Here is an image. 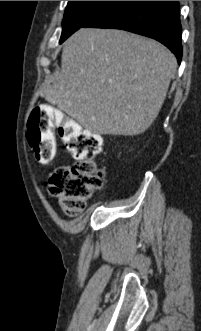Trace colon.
<instances>
[{"mask_svg":"<svg viewBox=\"0 0 201 331\" xmlns=\"http://www.w3.org/2000/svg\"><path fill=\"white\" fill-rule=\"evenodd\" d=\"M54 130L75 163L55 169L48 189L59 199L67 215L76 216L85 210L92 195L103 186L105 171L95 162V157L102 150V141L61 111L51 106H38L30 115L27 139L40 163H49L55 157Z\"/></svg>","mask_w":201,"mask_h":331,"instance_id":"obj_1","label":"colon"}]
</instances>
